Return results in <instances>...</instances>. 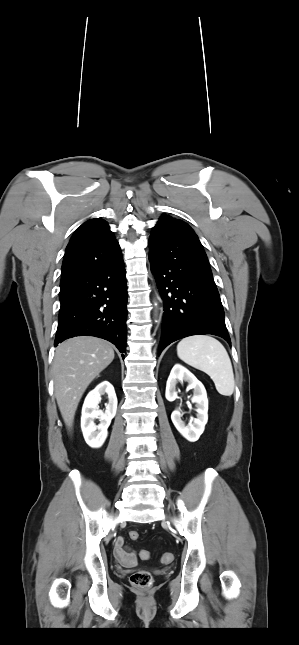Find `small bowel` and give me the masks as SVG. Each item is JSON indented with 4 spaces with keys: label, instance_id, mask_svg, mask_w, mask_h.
<instances>
[{
    "label": "small bowel",
    "instance_id": "small-bowel-1",
    "mask_svg": "<svg viewBox=\"0 0 299 645\" xmlns=\"http://www.w3.org/2000/svg\"><path fill=\"white\" fill-rule=\"evenodd\" d=\"M114 556L123 566L133 567L137 564L136 554L127 548L125 538L122 536L115 540Z\"/></svg>",
    "mask_w": 299,
    "mask_h": 645
}]
</instances>
